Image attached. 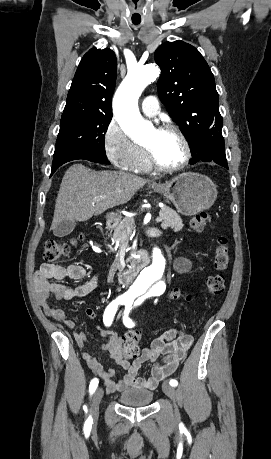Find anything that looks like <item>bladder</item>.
Instances as JSON below:
<instances>
[{"mask_svg":"<svg viewBox=\"0 0 271 459\" xmlns=\"http://www.w3.org/2000/svg\"><path fill=\"white\" fill-rule=\"evenodd\" d=\"M153 397V392L135 388L132 391L120 394V404L125 405H146Z\"/></svg>","mask_w":271,"mask_h":459,"instance_id":"bladder-1","label":"bladder"}]
</instances>
